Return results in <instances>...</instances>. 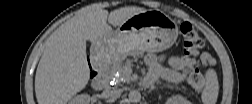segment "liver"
<instances>
[{
	"mask_svg": "<svg viewBox=\"0 0 252 104\" xmlns=\"http://www.w3.org/2000/svg\"><path fill=\"white\" fill-rule=\"evenodd\" d=\"M144 11V8L131 6L109 13L95 6L58 27L47 39L36 70L37 102L65 104L84 89L90 74L86 41H98L112 33L110 25L120 26L133 15Z\"/></svg>",
	"mask_w": 252,
	"mask_h": 104,
	"instance_id": "obj_1",
	"label": "liver"
}]
</instances>
